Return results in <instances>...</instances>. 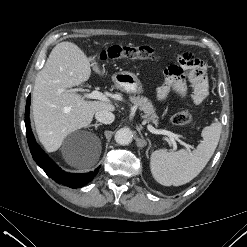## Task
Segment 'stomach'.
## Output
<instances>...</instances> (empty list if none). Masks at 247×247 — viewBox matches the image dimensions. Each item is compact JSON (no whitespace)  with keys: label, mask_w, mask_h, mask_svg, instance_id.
<instances>
[{"label":"stomach","mask_w":247,"mask_h":247,"mask_svg":"<svg viewBox=\"0 0 247 247\" xmlns=\"http://www.w3.org/2000/svg\"><path fill=\"white\" fill-rule=\"evenodd\" d=\"M112 80L117 89L129 94L143 93V85L138 77L130 72H117L112 76Z\"/></svg>","instance_id":"stomach-1"}]
</instances>
